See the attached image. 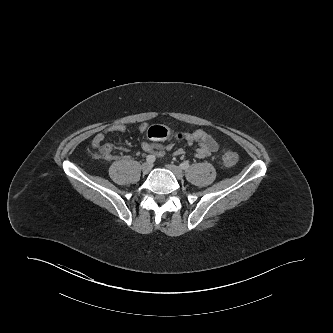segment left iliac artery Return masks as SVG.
I'll return each instance as SVG.
<instances>
[{
  "mask_svg": "<svg viewBox=\"0 0 333 333\" xmlns=\"http://www.w3.org/2000/svg\"><path fill=\"white\" fill-rule=\"evenodd\" d=\"M189 163L187 161H184L183 163L180 164L181 169L186 170L189 168Z\"/></svg>",
  "mask_w": 333,
  "mask_h": 333,
  "instance_id": "1",
  "label": "left iliac artery"
}]
</instances>
